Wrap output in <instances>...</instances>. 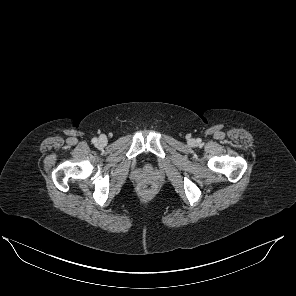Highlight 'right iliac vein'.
<instances>
[{"label": "right iliac vein", "instance_id": "63e3f726", "mask_svg": "<svg viewBox=\"0 0 296 296\" xmlns=\"http://www.w3.org/2000/svg\"><path fill=\"white\" fill-rule=\"evenodd\" d=\"M105 143H106V139L104 137H100L99 138V144L100 145H105Z\"/></svg>", "mask_w": 296, "mask_h": 296}]
</instances>
